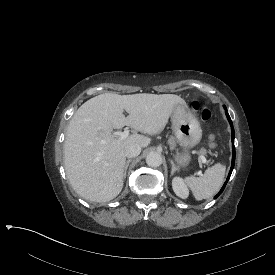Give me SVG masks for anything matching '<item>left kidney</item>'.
I'll return each instance as SVG.
<instances>
[{
	"label": "left kidney",
	"mask_w": 275,
	"mask_h": 275,
	"mask_svg": "<svg viewBox=\"0 0 275 275\" xmlns=\"http://www.w3.org/2000/svg\"><path fill=\"white\" fill-rule=\"evenodd\" d=\"M172 188L174 193L182 198L187 199L189 197V188L186 180L181 176H174L172 178Z\"/></svg>",
	"instance_id": "obj_1"
}]
</instances>
